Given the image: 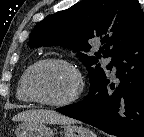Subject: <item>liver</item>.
<instances>
[{"mask_svg":"<svg viewBox=\"0 0 144 137\" xmlns=\"http://www.w3.org/2000/svg\"><path fill=\"white\" fill-rule=\"evenodd\" d=\"M13 121L23 123L72 124L75 121L53 110H27L18 113Z\"/></svg>","mask_w":144,"mask_h":137,"instance_id":"liver-1","label":"liver"}]
</instances>
